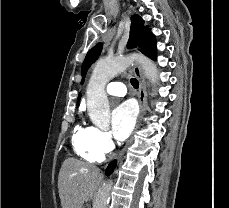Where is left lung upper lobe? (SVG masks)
<instances>
[{
    "label": "left lung upper lobe",
    "instance_id": "obj_1",
    "mask_svg": "<svg viewBox=\"0 0 229 208\" xmlns=\"http://www.w3.org/2000/svg\"><path fill=\"white\" fill-rule=\"evenodd\" d=\"M137 46L142 53L151 59L156 60V39L154 35H152L151 29L148 26H144V21L140 16L133 15L131 17L130 37L127 47L134 48ZM102 47L103 44L97 43L92 49L88 51L81 68L82 81L84 80L88 68L99 57L102 51Z\"/></svg>",
    "mask_w": 229,
    "mask_h": 208
}]
</instances>
